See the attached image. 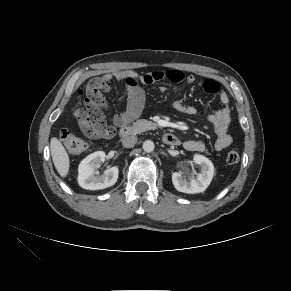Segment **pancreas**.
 I'll return each mask as SVG.
<instances>
[{"label":"pancreas","instance_id":"obj_1","mask_svg":"<svg viewBox=\"0 0 291 291\" xmlns=\"http://www.w3.org/2000/svg\"><path fill=\"white\" fill-rule=\"evenodd\" d=\"M155 128H156L155 123L151 121H147L145 119H140L133 123L131 130L133 134H139L141 132H144L150 129H155Z\"/></svg>","mask_w":291,"mask_h":291}]
</instances>
